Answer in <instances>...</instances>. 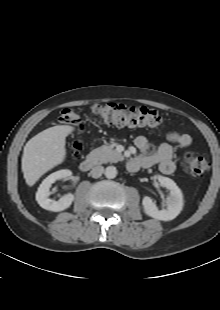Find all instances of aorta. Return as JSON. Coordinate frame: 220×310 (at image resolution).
Instances as JSON below:
<instances>
[{"mask_svg": "<svg viewBox=\"0 0 220 310\" xmlns=\"http://www.w3.org/2000/svg\"><path fill=\"white\" fill-rule=\"evenodd\" d=\"M105 176L108 179H113L117 176V169L114 166H108L105 170Z\"/></svg>", "mask_w": 220, "mask_h": 310, "instance_id": "1", "label": "aorta"}]
</instances>
